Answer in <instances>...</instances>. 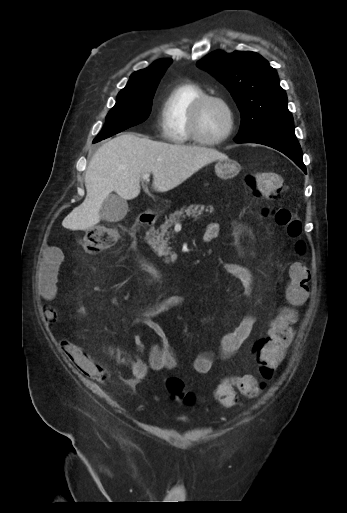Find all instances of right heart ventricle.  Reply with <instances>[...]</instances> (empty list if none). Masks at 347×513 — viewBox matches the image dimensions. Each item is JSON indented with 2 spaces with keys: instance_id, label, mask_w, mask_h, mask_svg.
Wrapping results in <instances>:
<instances>
[{
  "instance_id": "obj_1",
  "label": "right heart ventricle",
  "mask_w": 347,
  "mask_h": 513,
  "mask_svg": "<svg viewBox=\"0 0 347 513\" xmlns=\"http://www.w3.org/2000/svg\"><path fill=\"white\" fill-rule=\"evenodd\" d=\"M205 94L198 84L182 80L163 99L160 128L163 137L174 144H189L193 140L188 130V116L194 102Z\"/></svg>"
}]
</instances>
